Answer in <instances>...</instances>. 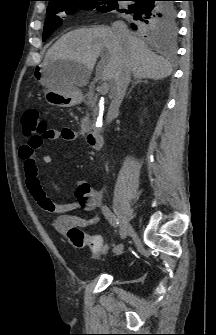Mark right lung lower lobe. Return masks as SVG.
Instances as JSON below:
<instances>
[{
    "instance_id": "98d812e1",
    "label": "right lung lower lobe",
    "mask_w": 216,
    "mask_h": 335,
    "mask_svg": "<svg viewBox=\"0 0 216 335\" xmlns=\"http://www.w3.org/2000/svg\"><path fill=\"white\" fill-rule=\"evenodd\" d=\"M130 1L129 5L116 7L117 11L132 15L129 19L132 27L144 29L153 24H160L162 28H172L176 25V9L168 8L164 4L170 0H121Z\"/></svg>"
}]
</instances>
